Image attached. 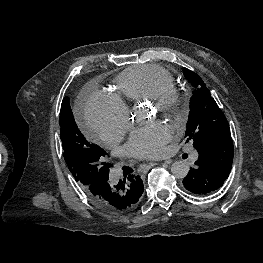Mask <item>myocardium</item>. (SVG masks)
<instances>
[{
    "instance_id": "1",
    "label": "myocardium",
    "mask_w": 263,
    "mask_h": 263,
    "mask_svg": "<svg viewBox=\"0 0 263 263\" xmlns=\"http://www.w3.org/2000/svg\"><path fill=\"white\" fill-rule=\"evenodd\" d=\"M149 101L157 111L167 115H177L187 104V96L175 87L161 88Z\"/></svg>"
}]
</instances>
